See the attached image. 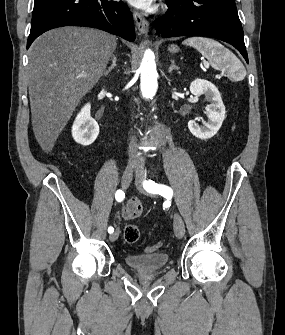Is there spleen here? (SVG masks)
I'll list each match as a JSON object with an SVG mask.
<instances>
[{
	"label": "spleen",
	"mask_w": 285,
	"mask_h": 335,
	"mask_svg": "<svg viewBox=\"0 0 285 335\" xmlns=\"http://www.w3.org/2000/svg\"><path fill=\"white\" fill-rule=\"evenodd\" d=\"M182 44L185 46H192V48H196L204 58L209 60L212 68H217L221 62H225L226 66H230L231 60H234V70H241V78H245L246 70L242 64H240L239 60H236L234 54L226 50L224 46H221L219 42H215V40H209V38H188V40H184ZM227 54V56H224Z\"/></svg>",
	"instance_id": "obj_1"
}]
</instances>
